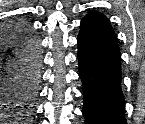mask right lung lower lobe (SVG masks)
Here are the masks:
<instances>
[{"label": "right lung lower lobe", "mask_w": 145, "mask_h": 124, "mask_svg": "<svg viewBox=\"0 0 145 124\" xmlns=\"http://www.w3.org/2000/svg\"><path fill=\"white\" fill-rule=\"evenodd\" d=\"M40 52L37 36L28 29L4 33L0 49V114L24 118L34 108L39 80Z\"/></svg>", "instance_id": "1"}]
</instances>
